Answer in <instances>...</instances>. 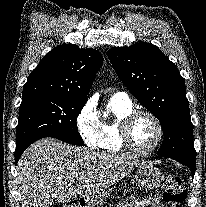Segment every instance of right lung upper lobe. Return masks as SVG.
<instances>
[{
	"label": "right lung upper lobe",
	"mask_w": 206,
	"mask_h": 207,
	"mask_svg": "<svg viewBox=\"0 0 206 207\" xmlns=\"http://www.w3.org/2000/svg\"><path fill=\"white\" fill-rule=\"evenodd\" d=\"M102 61V55L95 49H83L73 44L57 46L29 75L22 101L52 96L86 103Z\"/></svg>",
	"instance_id": "obj_1"
}]
</instances>
